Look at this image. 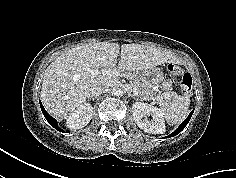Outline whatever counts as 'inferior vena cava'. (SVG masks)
I'll return each instance as SVG.
<instances>
[{"label":"inferior vena cava","instance_id":"1","mask_svg":"<svg viewBox=\"0 0 236 178\" xmlns=\"http://www.w3.org/2000/svg\"><path fill=\"white\" fill-rule=\"evenodd\" d=\"M110 86V83H103V84H99V85H95L91 88V94L92 96H99L101 95L102 93H104Z\"/></svg>","mask_w":236,"mask_h":178}]
</instances>
